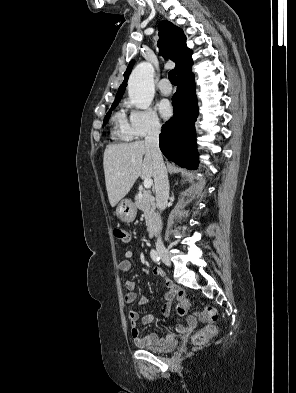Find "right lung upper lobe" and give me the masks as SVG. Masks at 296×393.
Returning a JSON list of instances; mask_svg holds the SVG:
<instances>
[{"label": "right lung upper lobe", "mask_w": 296, "mask_h": 393, "mask_svg": "<svg viewBox=\"0 0 296 393\" xmlns=\"http://www.w3.org/2000/svg\"><path fill=\"white\" fill-rule=\"evenodd\" d=\"M158 29V47L160 48V53L164 55V58L172 59L176 63L175 70L178 74L181 70L193 62L191 57L192 52L186 46V37L180 28L167 20L160 22ZM133 64L134 62L131 61L124 73V81L118 89L115 101H120L125 91Z\"/></svg>", "instance_id": "obj_1"}]
</instances>
